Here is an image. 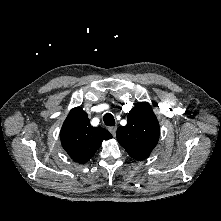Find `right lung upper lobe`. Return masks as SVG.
Masks as SVG:
<instances>
[{"label":"right lung upper lobe","mask_w":221,"mask_h":221,"mask_svg":"<svg viewBox=\"0 0 221 221\" xmlns=\"http://www.w3.org/2000/svg\"><path fill=\"white\" fill-rule=\"evenodd\" d=\"M60 137L69 156L83 164L94 156L102 141L112 138V135L104 128L92 127L87 113L76 107L64 121Z\"/></svg>","instance_id":"1"}]
</instances>
